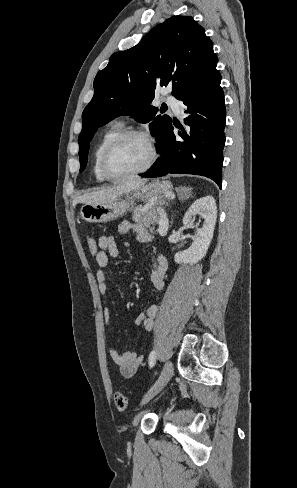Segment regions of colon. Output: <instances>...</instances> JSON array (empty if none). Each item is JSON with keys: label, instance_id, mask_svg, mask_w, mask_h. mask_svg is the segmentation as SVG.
I'll use <instances>...</instances> for the list:
<instances>
[{"label": "colon", "instance_id": "colon-1", "mask_svg": "<svg viewBox=\"0 0 297 488\" xmlns=\"http://www.w3.org/2000/svg\"><path fill=\"white\" fill-rule=\"evenodd\" d=\"M87 244L90 254L95 257L99 251L98 241L94 237L89 236L87 238ZM114 401L118 410H126L128 406V398L124 393L116 392L114 395Z\"/></svg>", "mask_w": 297, "mask_h": 488}]
</instances>
